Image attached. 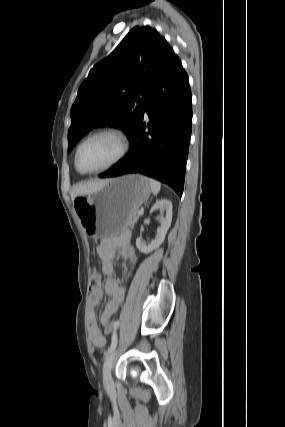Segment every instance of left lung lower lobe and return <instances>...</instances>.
<instances>
[{
	"mask_svg": "<svg viewBox=\"0 0 285 427\" xmlns=\"http://www.w3.org/2000/svg\"><path fill=\"white\" fill-rule=\"evenodd\" d=\"M144 112L151 122H142ZM192 123L188 76L172 52L151 86L144 110L129 138L128 156L101 178L140 173L166 183L181 197Z\"/></svg>",
	"mask_w": 285,
	"mask_h": 427,
	"instance_id": "obj_1",
	"label": "left lung lower lobe"
}]
</instances>
